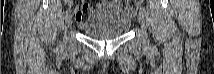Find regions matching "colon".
Returning <instances> with one entry per match:
<instances>
[{
  "label": "colon",
  "instance_id": "colon-1",
  "mask_svg": "<svg viewBox=\"0 0 214 74\" xmlns=\"http://www.w3.org/2000/svg\"><path fill=\"white\" fill-rule=\"evenodd\" d=\"M143 1L142 0H138V1H136V3H142Z\"/></svg>",
  "mask_w": 214,
  "mask_h": 74
}]
</instances>
